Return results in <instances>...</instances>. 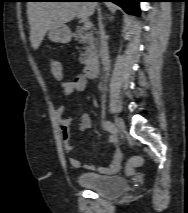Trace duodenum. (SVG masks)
<instances>
[{"mask_svg":"<svg viewBox=\"0 0 188 213\" xmlns=\"http://www.w3.org/2000/svg\"><path fill=\"white\" fill-rule=\"evenodd\" d=\"M100 69L99 61L96 59L89 60L85 66V73L88 78H95L98 76Z\"/></svg>","mask_w":188,"mask_h":213,"instance_id":"410a0bca","label":"duodenum"}]
</instances>
